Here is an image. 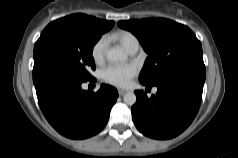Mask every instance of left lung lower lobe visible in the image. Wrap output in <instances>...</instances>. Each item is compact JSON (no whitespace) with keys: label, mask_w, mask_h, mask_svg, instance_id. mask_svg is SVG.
Masks as SVG:
<instances>
[{"label":"left lung lower lobe","mask_w":238,"mask_h":158,"mask_svg":"<svg viewBox=\"0 0 238 158\" xmlns=\"http://www.w3.org/2000/svg\"><path fill=\"white\" fill-rule=\"evenodd\" d=\"M204 82L205 69L192 68L159 81L155 85L157 94L151 98L135 91L132 118L137 129L155 139H170L182 133L199 110Z\"/></svg>","instance_id":"0a47b994"}]
</instances>
